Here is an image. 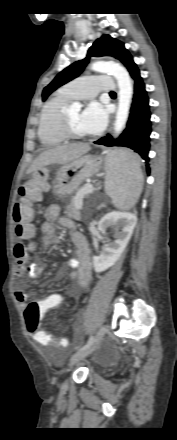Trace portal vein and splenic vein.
Masks as SVG:
<instances>
[{"label": "portal vein and splenic vein", "instance_id": "obj_1", "mask_svg": "<svg viewBox=\"0 0 177 440\" xmlns=\"http://www.w3.org/2000/svg\"><path fill=\"white\" fill-rule=\"evenodd\" d=\"M92 191H93L92 185H88V187L86 189V193H91Z\"/></svg>", "mask_w": 177, "mask_h": 440}]
</instances>
